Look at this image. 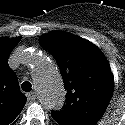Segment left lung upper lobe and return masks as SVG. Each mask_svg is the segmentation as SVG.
<instances>
[{
	"label": "left lung upper lobe",
	"instance_id": "1",
	"mask_svg": "<svg viewBox=\"0 0 125 125\" xmlns=\"http://www.w3.org/2000/svg\"><path fill=\"white\" fill-rule=\"evenodd\" d=\"M39 43L55 58L67 91L65 106L52 111L54 120L59 125H95L114 91L103 53L91 42L62 31L42 35Z\"/></svg>",
	"mask_w": 125,
	"mask_h": 125
}]
</instances>
